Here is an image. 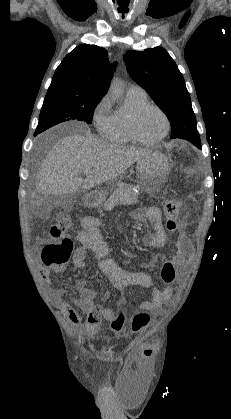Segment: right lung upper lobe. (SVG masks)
<instances>
[{
    "label": "right lung upper lobe",
    "mask_w": 231,
    "mask_h": 419,
    "mask_svg": "<svg viewBox=\"0 0 231 419\" xmlns=\"http://www.w3.org/2000/svg\"><path fill=\"white\" fill-rule=\"evenodd\" d=\"M115 70L106 49L82 44L65 56L48 90L67 89L81 96L103 97Z\"/></svg>",
    "instance_id": "right-lung-upper-lobe-1"
}]
</instances>
